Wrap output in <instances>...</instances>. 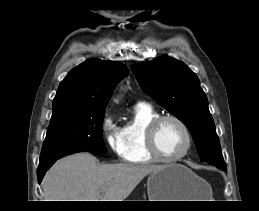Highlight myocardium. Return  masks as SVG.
Segmentation results:
<instances>
[{"label": "myocardium", "mask_w": 259, "mask_h": 211, "mask_svg": "<svg viewBox=\"0 0 259 211\" xmlns=\"http://www.w3.org/2000/svg\"><path fill=\"white\" fill-rule=\"evenodd\" d=\"M167 120H171L176 122L183 130L186 136V147L184 150L177 156L167 157L163 155L157 144V132L161 124ZM145 140L148 152L152 155L155 160L163 161V162H176L183 159L191 150L193 145V137L190 129L186 125V123L179 118L178 116L172 114L159 115L155 119H153L147 126L145 131Z\"/></svg>", "instance_id": "obj_1"}]
</instances>
